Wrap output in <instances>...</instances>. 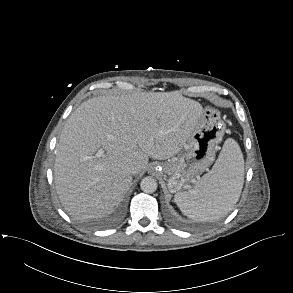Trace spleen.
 <instances>
[{
  "label": "spleen",
  "instance_id": "obj_1",
  "mask_svg": "<svg viewBox=\"0 0 293 293\" xmlns=\"http://www.w3.org/2000/svg\"><path fill=\"white\" fill-rule=\"evenodd\" d=\"M243 183V154L238 143L229 138L212 169L194 187L177 192L174 201L181 212L193 220H217L232 210Z\"/></svg>",
  "mask_w": 293,
  "mask_h": 293
}]
</instances>
